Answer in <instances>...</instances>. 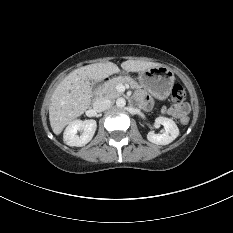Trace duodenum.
I'll list each match as a JSON object with an SVG mask.
<instances>
[{
	"label": "duodenum",
	"instance_id": "obj_1",
	"mask_svg": "<svg viewBox=\"0 0 233 233\" xmlns=\"http://www.w3.org/2000/svg\"><path fill=\"white\" fill-rule=\"evenodd\" d=\"M107 81H108V78H104V79L97 82V86H100V85H102L103 83H105Z\"/></svg>",
	"mask_w": 233,
	"mask_h": 233
}]
</instances>
